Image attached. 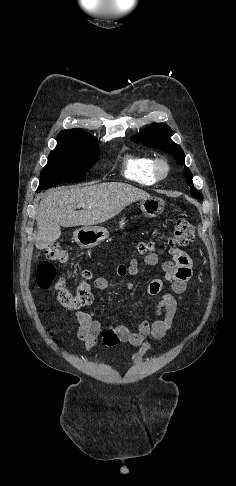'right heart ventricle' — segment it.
<instances>
[{"instance_id":"right-heart-ventricle-1","label":"right heart ventricle","mask_w":236,"mask_h":486,"mask_svg":"<svg viewBox=\"0 0 236 486\" xmlns=\"http://www.w3.org/2000/svg\"><path fill=\"white\" fill-rule=\"evenodd\" d=\"M154 159L149 155H129L124 161V175L139 184L152 185L157 182L153 174Z\"/></svg>"}]
</instances>
